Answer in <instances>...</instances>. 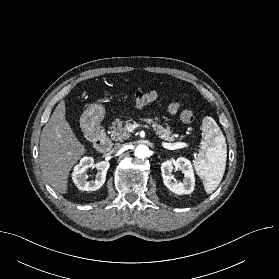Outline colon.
<instances>
[{
  "instance_id": "1",
  "label": "colon",
  "mask_w": 279,
  "mask_h": 279,
  "mask_svg": "<svg viewBox=\"0 0 279 279\" xmlns=\"http://www.w3.org/2000/svg\"><path fill=\"white\" fill-rule=\"evenodd\" d=\"M159 93L156 91H139L133 94L132 100L137 106H145L156 101ZM180 118L185 123H191L196 119L195 113L190 109H183Z\"/></svg>"
}]
</instances>
